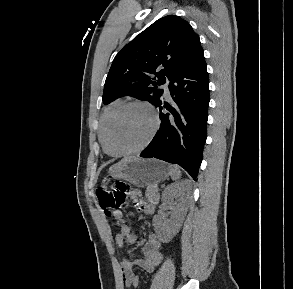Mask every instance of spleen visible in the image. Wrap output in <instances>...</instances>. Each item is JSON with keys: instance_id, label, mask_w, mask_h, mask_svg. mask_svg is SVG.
Wrapping results in <instances>:
<instances>
[{"instance_id": "1", "label": "spleen", "mask_w": 293, "mask_h": 289, "mask_svg": "<svg viewBox=\"0 0 293 289\" xmlns=\"http://www.w3.org/2000/svg\"><path fill=\"white\" fill-rule=\"evenodd\" d=\"M170 175L173 180H178L181 176V171L177 166L171 165L170 166Z\"/></svg>"}]
</instances>
